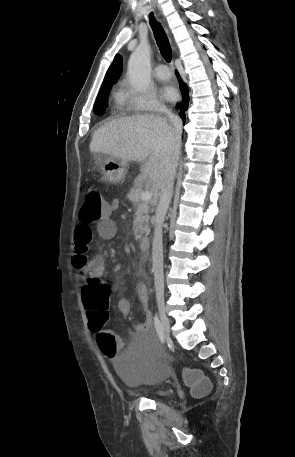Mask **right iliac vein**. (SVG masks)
Wrapping results in <instances>:
<instances>
[{
    "label": "right iliac vein",
    "instance_id": "right-iliac-vein-1",
    "mask_svg": "<svg viewBox=\"0 0 295 457\" xmlns=\"http://www.w3.org/2000/svg\"><path fill=\"white\" fill-rule=\"evenodd\" d=\"M158 312L159 317L161 319V324L163 326V330L168 336L170 333V321L166 313L165 304L162 301H158Z\"/></svg>",
    "mask_w": 295,
    "mask_h": 457
}]
</instances>
